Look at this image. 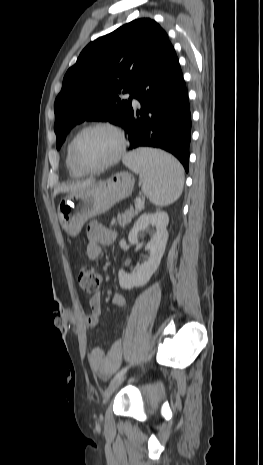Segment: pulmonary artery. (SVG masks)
<instances>
[{"mask_svg": "<svg viewBox=\"0 0 263 465\" xmlns=\"http://www.w3.org/2000/svg\"><path fill=\"white\" fill-rule=\"evenodd\" d=\"M126 97H131V98H132V101H133V103H134L135 105H137V104H138V100H137L135 97H133V96H132L130 93H127V94H126Z\"/></svg>", "mask_w": 263, "mask_h": 465, "instance_id": "1", "label": "pulmonary artery"}]
</instances>
